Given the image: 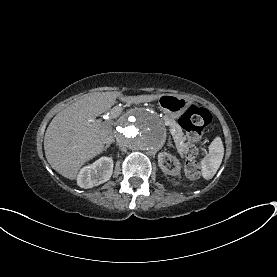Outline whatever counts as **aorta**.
I'll return each mask as SVG.
<instances>
[{"label":"aorta","mask_w":277,"mask_h":277,"mask_svg":"<svg viewBox=\"0 0 277 277\" xmlns=\"http://www.w3.org/2000/svg\"><path fill=\"white\" fill-rule=\"evenodd\" d=\"M167 133L162 120L152 111H131L117 122L115 138L129 151L155 154L166 141Z\"/></svg>","instance_id":"1"}]
</instances>
